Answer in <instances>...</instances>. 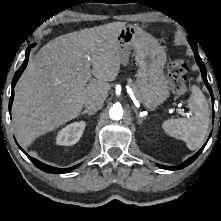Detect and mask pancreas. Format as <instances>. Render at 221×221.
<instances>
[{"label":"pancreas","instance_id":"cf45deb5","mask_svg":"<svg viewBox=\"0 0 221 221\" xmlns=\"http://www.w3.org/2000/svg\"><path fill=\"white\" fill-rule=\"evenodd\" d=\"M129 83L131 84L132 83V81L131 80H129ZM132 85V84H131ZM134 89H135V86H134ZM136 90V89H135Z\"/></svg>","mask_w":221,"mask_h":221}]
</instances>
